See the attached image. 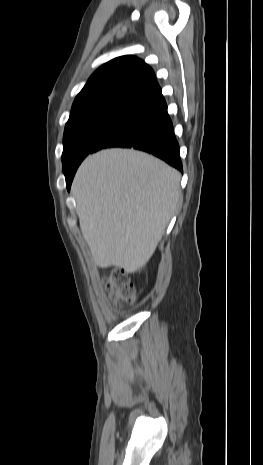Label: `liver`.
<instances>
[{
  "label": "liver",
  "instance_id": "obj_1",
  "mask_svg": "<svg viewBox=\"0 0 263 465\" xmlns=\"http://www.w3.org/2000/svg\"><path fill=\"white\" fill-rule=\"evenodd\" d=\"M180 173L132 149L88 156L72 184L76 212L93 260L134 273L149 261L180 196Z\"/></svg>",
  "mask_w": 263,
  "mask_h": 465
}]
</instances>
